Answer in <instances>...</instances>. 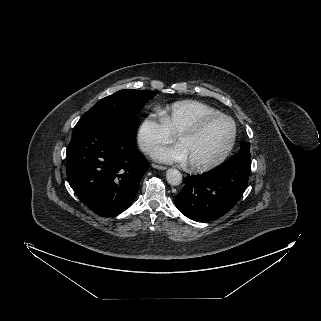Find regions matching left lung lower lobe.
I'll use <instances>...</instances> for the list:
<instances>
[{"label": "left lung lower lobe", "mask_w": 321, "mask_h": 321, "mask_svg": "<svg viewBox=\"0 0 321 321\" xmlns=\"http://www.w3.org/2000/svg\"><path fill=\"white\" fill-rule=\"evenodd\" d=\"M250 158L237 154L206 173L186 177V184L175 199L176 207L198 222L223 216L247 188Z\"/></svg>", "instance_id": "obj_1"}]
</instances>
